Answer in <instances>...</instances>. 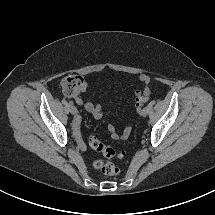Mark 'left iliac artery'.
<instances>
[{"mask_svg":"<svg viewBox=\"0 0 215 215\" xmlns=\"http://www.w3.org/2000/svg\"><path fill=\"white\" fill-rule=\"evenodd\" d=\"M147 108V107H145ZM136 113H141V108H136Z\"/></svg>","mask_w":215,"mask_h":215,"instance_id":"44dca946","label":"left iliac artery"}]
</instances>
